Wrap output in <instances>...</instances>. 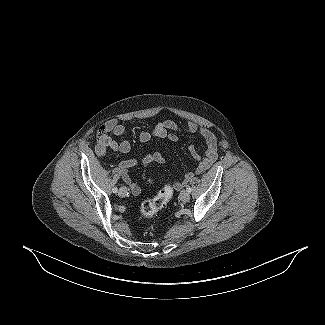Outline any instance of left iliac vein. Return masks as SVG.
<instances>
[{
  "label": "left iliac vein",
  "mask_w": 325,
  "mask_h": 325,
  "mask_svg": "<svg viewBox=\"0 0 325 325\" xmlns=\"http://www.w3.org/2000/svg\"><path fill=\"white\" fill-rule=\"evenodd\" d=\"M179 198L182 202H188L190 200V195L186 190L180 192Z\"/></svg>",
  "instance_id": "4c4485c4"
}]
</instances>
